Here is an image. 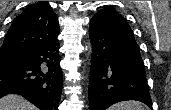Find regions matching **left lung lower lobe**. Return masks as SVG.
Segmentation results:
<instances>
[{"label":"left lung lower lobe","mask_w":171,"mask_h":110,"mask_svg":"<svg viewBox=\"0 0 171 110\" xmlns=\"http://www.w3.org/2000/svg\"><path fill=\"white\" fill-rule=\"evenodd\" d=\"M92 59L89 110H106L119 101L138 100L152 108L145 68L136 41L96 17L90 21Z\"/></svg>","instance_id":"left-lung-lower-lobe-1"}]
</instances>
